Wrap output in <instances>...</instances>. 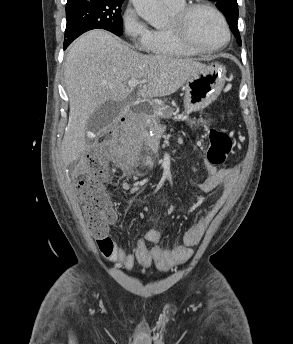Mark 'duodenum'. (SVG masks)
I'll list each match as a JSON object with an SVG mask.
<instances>
[{"instance_id": "duodenum-1", "label": "duodenum", "mask_w": 293, "mask_h": 344, "mask_svg": "<svg viewBox=\"0 0 293 344\" xmlns=\"http://www.w3.org/2000/svg\"><path fill=\"white\" fill-rule=\"evenodd\" d=\"M129 112H126L125 114L122 115L120 118L119 122L120 124H124L125 122L129 121Z\"/></svg>"}]
</instances>
